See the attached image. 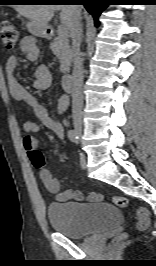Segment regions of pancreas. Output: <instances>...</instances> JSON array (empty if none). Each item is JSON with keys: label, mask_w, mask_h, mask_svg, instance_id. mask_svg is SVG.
Masks as SVG:
<instances>
[{"label": "pancreas", "mask_w": 156, "mask_h": 266, "mask_svg": "<svg viewBox=\"0 0 156 266\" xmlns=\"http://www.w3.org/2000/svg\"><path fill=\"white\" fill-rule=\"evenodd\" d=\"M50 49L57 56L60 62V71L67 73L70 70L72 62V49L69 46L68 38L57 36L50 43Z\"/></svg>", "instance_id": "1"}]
</instances>
